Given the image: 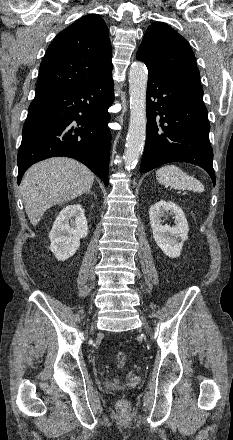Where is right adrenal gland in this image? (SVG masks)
I'll return each instance as SVG.
<instances>
[{"instance_id":"2a0ac1e0","label":"right adrenal gland","mask_w":233,"mask_h":440,"mask_svg":"<svg viewBox=\"0 0 233 440\" xmlns=\"http://www.w3.org/2000/svg\"><path fill=\"white\" fill-rule=\"evenodd\" d=\"M87 193H89V194H94L93 192H91V190H89Z\"/></svg>"}]
</instances>
